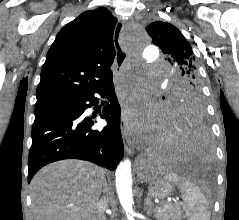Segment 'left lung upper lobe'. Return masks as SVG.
<instances>
[{
  "instance_id": "5c2ea615",
  "label": "left lung upper lobe",
  "mask_w": 239,
  "mask_h": 220,
  "mask_svg": "<svg viewBox=\"0 0 239 220\" xmlns=\"http://www.w3.org/2000/svg\"><path fill=\"white\" fill-rule=\"evenodd\" d=\"M146 30L153 44L161 48L178 73L177 78L170 85L169 109L175 112L195 109L204 111L201 82L189 42L178 28L167 22L156 21Z\"/></svg>"
}]
</instances>
